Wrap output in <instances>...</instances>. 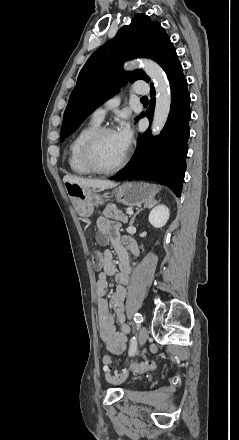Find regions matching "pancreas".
Wrapping results in <instances>:
<instances>
[{
	"label": "pancreas",
	"mask_w": 239,
	"mask_h": 440,
	"mask_svg": "<svg viewBox=\"0 0 239 440\" xmlns=\"http://www.w3.org/2000/svg\"><path fill=\"white\" fill-rule=\"evenodd\" d=\"M105 218H111V220H120L123 224H128L130 216H125L122 210H118L115 204H107L105 210L102 212Z\"/></svg>",
	"instance_id": "obj_1"
}]
</instances>
